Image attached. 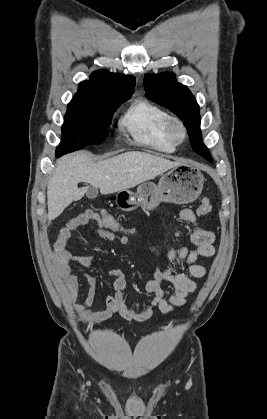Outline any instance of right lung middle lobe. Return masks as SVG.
I'll list each match as a JSON object with an SVG mask.
<instances>
[{
  "label": "right lung middle lobe",
  "instance_id": "dd1d6c3e",
  "mask_svg": "<svg viewBox=\"0 0 267 419\" xmlns=\"http://www.w3.org/2000/svg\"><path fill=\"white\" fill-rule=\"evenodd\" d=\"M131 95L110 99L73 102L68 104L62 141L56 156L76 151L87 145L103 143L109 136L108 126L116 109Z\"/></svg>",
  "mask_w": 267,
  "mask_h": 419
}]
</instances>
